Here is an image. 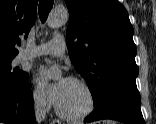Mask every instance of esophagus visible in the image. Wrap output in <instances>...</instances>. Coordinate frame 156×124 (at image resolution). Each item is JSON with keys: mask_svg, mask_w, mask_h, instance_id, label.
<instances>
[{"mask_svg": "<svg viewBox=\"0 0 156 124\" xmlns=\"http://www.w3.org/2000/svg\"><path fill=\"white\" fill-rule=\"evenodd\" d=\"M51 124H61V122L57 119L52 120Z\"/></svg>", "mask_w": 156, "mask_h": 124, "instance_id": "esophagus-1", "label": "esophagus"}]
</instances>
